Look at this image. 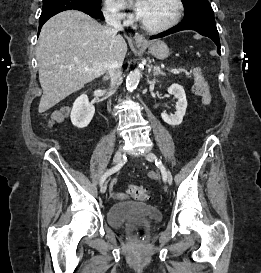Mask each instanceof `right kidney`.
I'll return each instance as SVG.
<instances>
[{"label": "right kidney", "instance_id": "1", "mask_svg": "<svg viewBox=\"0 0 261 273\" xmlns=\"http://www.w3.org/2000/svg\"><path fill=\"white\" fill-rule=\"evenodd\" d=\"M95 113V107L89 103L86 94L80 95L73 103L71 122L75 127L84 128L89 125Z\"/></svg>", "mask_w": 261, "mask_h": 273}]
</instances>
